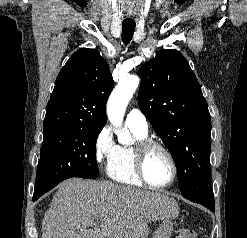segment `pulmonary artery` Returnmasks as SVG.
Segmentation results:
<instances>
[{
  "instance_id": "obj_1",
  "label": "pulmonary artery",
  "mask_w": 247,
  "mask_h": 238,
  "mask_svg": "<svg viewBox=\"0 0 247 238\" xmlns=\"http://www.w3.org/2000/svg\"><path fill=\"white\" fill-rule=\"evenodd\" d=\"M125 121L130 128L137 129L141 132L148 131L147 119L145 115L137 108H133L127 113Z\"/></svg>"
}]
</instances>
